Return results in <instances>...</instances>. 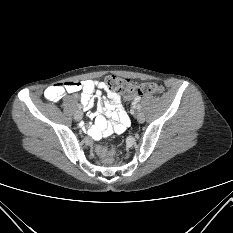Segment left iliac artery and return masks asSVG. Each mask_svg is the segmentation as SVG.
Here are the masks:
<instances>
[{"instance_id":"left-iliac-artery-1","label":"left iliac artery","mask_w":233,"mask_h":233,"mask_svg":"<svg viewBox=\"0 0 233 233\" xmlns=\"http://www.w3.org/2000/svg\"><path fill=\"white\" fill-rule=\"evenodd\" d=\"M135 101H136V102H139V101H140V97H136V98H135ZM137 109L140 110V109H141V106H140V105H137Z\"/></svg>"}]
</instances>
